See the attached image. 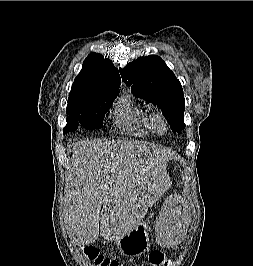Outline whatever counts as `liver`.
Returning a JSON list of instances; mask_svg holds the SVG:
<instances>
[{
	"mask_svg": "<svg viewBox=\"0 0 253 266\" xmlns=\"http://www.w3.org/2000/svg\"><path fill=\"white\" fill-rule=\"evenodd\" d=\"M170 158L163 147L127 140L76 143L66 214L73 244L89 245L99 234L116 242L140 226Z\"/></svg>",
	"mask_w": 253,
	"mask_h": 266,
	"instance_id": "obj_1",
	"label": "liver"
}]
</instances>
